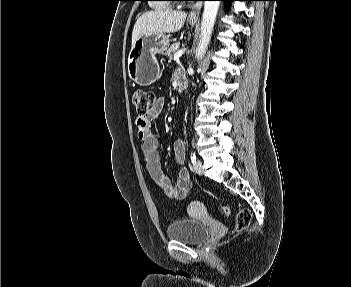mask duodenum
<instances>
[{
    "label": "duodenum",
    "instance_id": "410a0bca",
    "mask_svg": "<svg viewBox=\"0 0 351 287\" xmlns=\"http://www.w3.org/2000/svg\"><path fill=\"white\" fill-rule=\"evenodd\" d=\"M179 87L181 89H184L186 87V83L182 78L179 79Z\"/></svg>",
    "mask_w": 351,
    "mask_h": 287
}]
</instances>
